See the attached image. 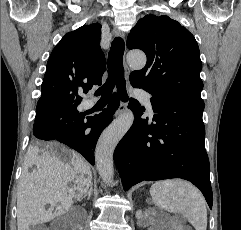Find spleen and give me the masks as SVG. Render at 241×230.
I'll use <instances>...</instances> for the list:
<instances>
[{
  "label": "spleen",
  "mask_w": 241,
  "mask_h": 230,
  "mask_svg": "<svg viewBox=\"0 0 241 230\" xmlns=\"http://www.w3.org/2000/svg\"><path fill=\"white\" fill-rule=\"evenodd\" d=\"M154 204L168 212L181 213L196 230H206L207 210L203 195L186 181L166 180L150 188Z\"/></svg>",
  "instance_id": "obj_1"
}]
</instances>
